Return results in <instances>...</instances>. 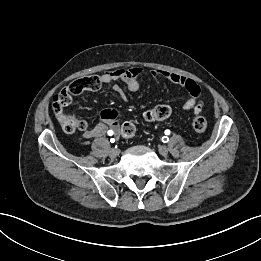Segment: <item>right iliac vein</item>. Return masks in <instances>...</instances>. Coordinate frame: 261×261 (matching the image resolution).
<instances>
[{
  "mask_svg": "<svg viewBox=\"0 0 261 261\" xmlns=\"http://www.w3.org/2000/svg\"><path fill=\"white\" fill-rule=\"evenodd\" d=\"M118 153H119L118 149L111 148V149L109 150V156H110L111 158H115V157L118 155Z\"/></svg>",
  "mask_w": 261,
  "mask_h": 261,
  "instance_id": "1",
  "label": "right iliac vein"
}]
</instances>
